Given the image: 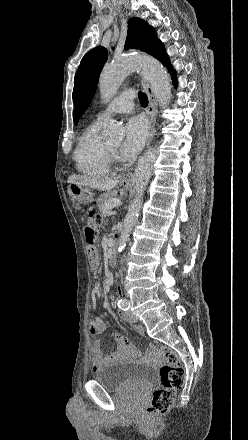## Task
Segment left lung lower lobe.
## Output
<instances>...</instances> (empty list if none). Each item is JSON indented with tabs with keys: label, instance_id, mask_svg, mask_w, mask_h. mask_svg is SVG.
I'll use <instances>...</instances> for the list:
<instances>
[{
	"label": "left lung lower lobe",
	"instance_id": "0a47b994",
	"mask_svg": "<svg viewBox=\"0 0 248 440\" xmlns=\"http://www.w3.org/2000/svg\"><path fill=\"white\" fill-rule=\"evenodd\" d=\"M171 75H172L173 83H174V85H176L177 81H176L175 73H172Z\"/></svg>",
	"mask_w": 248,
	"mask_h": 440
}]
</instances>
